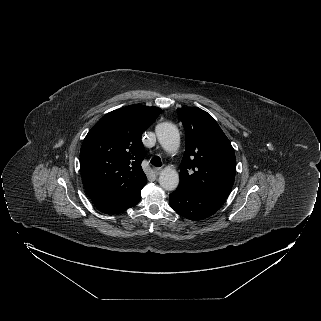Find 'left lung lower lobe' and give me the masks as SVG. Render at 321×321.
Segmentation results:
<instances>
[{
    "mask_svg": "<svg viewBox=\"0 0 321 321\" xmlns=\"http://www.w3.org/2000/svg\"><path fill=\"white\" fill-rule=\"evenodd\" d=\"M225 200L224 198L197 194L180 188L169 195L171 207L180 215L194 221L213 215L220 209Z\"/></svg>",
    "mask_w": 321,
    "mask_h": 321,
    "instance_id": "obj_1",
    "label": "left lung lower lobe"
}]
</instances>
